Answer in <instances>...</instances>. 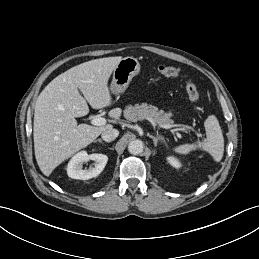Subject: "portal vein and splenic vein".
I'll return each mask as SVG.
<instances>
[{
	"instance_id": "18ae733b",
	"label": "portal vein and splenic vein",
	"mask_w": 259,
	"mask_h": 259,
	"mask_svg": "<svg viewBox=\"0 0 259 259\" xmlns=\"http://www.w3.org/2000/svg\"><path fill=\"white\" fill-rule=\"evenodd\" d=\"M105 123H106V120L103 117H94L91 120V124L95 125V126H103V125H105ZM160 127L164 128V129H171L172 128L171 125H160ZM172 132H175V130H172ZM177 135H179V134L177 133Z\"/></svg>"
}]
</instances>
